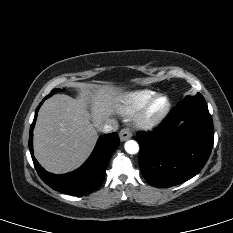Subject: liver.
<instances>
[{"mask_svg": "<svg viewBox=\"0 0 233 233\" xmlns=\"http://www.w3.org/2000/svg\"><path fill=\"white\" fill-rule=\"evenodd\" d=\"M121 98L119 87L92 84L83 89L80 99L56 94L46 100L38 112L33 140L41 166L55 174L81 166Z\"/></svg>", "mask_w": 233, "mask_h": 233, "instance_id": "1", "label": "liver"}]
</instances>
